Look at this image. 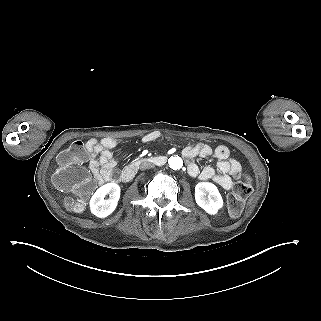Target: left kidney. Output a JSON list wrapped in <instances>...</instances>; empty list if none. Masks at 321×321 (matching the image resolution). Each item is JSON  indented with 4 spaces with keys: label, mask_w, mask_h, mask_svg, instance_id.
Returning <instances> with one entry per match:
<instances>
[{
    "label": "left kidney",
    "mask_w": 321,
    "mask_h": 321,
    "mask_svg": "<svg viewBox=\"0 0 321 321\" xmlns=\"http://www.w3.org/2000/svg\"><path fill=\"white\" fill-rule=\"evenodd\" d=\"M196 203L207 213L214 215L223 206V199L217 187L210 182H200L195 187Z\"/></svg>",
    "instance_id": "1"
}]
</instances>
